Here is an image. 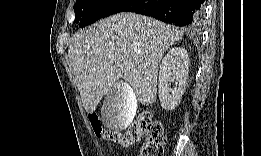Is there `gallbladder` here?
<instances>
[{"mask_svg":"<svg viewBox=\"0 0 261 156\" xmlns=\"http://www.w3.org/2000/svg\"><path fill=\"white\" fill-rule=\"evenodd\" d=\"M108 93L101 111V120L103 124L112 130H124L130 127L134 120L136 110L138 109L137 97L135 92L129 85L125 84L124 80H120Z\"/></svg>","mask_w":261,"mask_h":156,"instance_id":"bac80fb5","label":"gallbladder"}]
</instances>
